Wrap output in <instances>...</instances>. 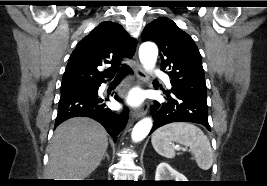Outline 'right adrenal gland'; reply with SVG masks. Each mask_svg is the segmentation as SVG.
<instances>
[{"mask_svg":"<svg viewBox=\"0 0 267 186\" xmlns=\"http://www.w3.org/2000/svg\"><path fill=\"white\" fill-rule=\"evenodd\" d=\"M105 158H107V160L109 161V155H108V153H107V152H105V154H104V156H103L102 160H104Z\"/></svg>","mask_w":267,"mask_h":186,"instance_id":"1","label":"right adrenal gland"}]
</instances>
